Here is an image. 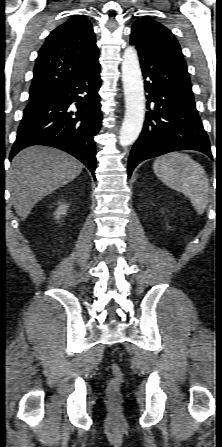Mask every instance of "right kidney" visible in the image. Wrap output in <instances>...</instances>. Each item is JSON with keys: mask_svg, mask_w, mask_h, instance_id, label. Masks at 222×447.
<instances>
[{"mask_svg": "<svg viewBox=\"0 0 222 447\" xmlns=\"http://www.w3.org/2000/svg\"><path fill=\"white\" fill-rule=\"evenodd\" d=\"M67 207H68V205H66V204L59 205L57 210L54 213L55 218L59 219L61 215L66 214Z\"/></svg>", "mask_w": 222, "mask_h": 447, "instance_id": "1", "label": "right kidney"}]
</instances>
